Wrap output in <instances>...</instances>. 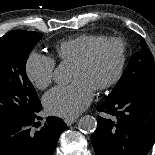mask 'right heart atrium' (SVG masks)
I'll use <instances>...</instances> for the list:
<instances>
[{
  "label": "right heart atrium",
  "instance_id": "right-heart-atrium-1",
  "mask_svg": "<svg viewBox=\"0 0 155 155\" xmlns=\"http://www.w3.org/2000/svg\"><path fill=\"white\" fill-rule=\"evenodd\" d=\"M55 60L47 55L31 52L25 62L29 82L37 89H45L54 79Z\"/></svg>",
  "mask_w": 155,
  "mask_h": 155
}]
</instances>
